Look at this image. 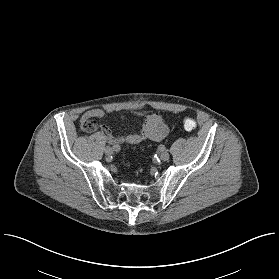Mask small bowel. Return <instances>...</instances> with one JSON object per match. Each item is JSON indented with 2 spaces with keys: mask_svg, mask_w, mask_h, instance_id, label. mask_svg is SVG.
<instances>
[{
  "mask_svg": "<svg viewBox=\"0 0 279 279\" xmlns=\"http://www.w3.org/2000/svg\"><path fill=\"white\" fill-rule=\"evenodd\" d=\"M109 110L100 108L90 109L86 111L81 117V124L89 123L92 131L96 129V125L92 122L94 118H105ZM125 119V117H122ZM102 133L108 141L114 145L121 144H138L145 140L159 141L168 134V127L165 119L161 114L153 113L145 116L141 123V128L138 133L128 135H114L110 128L106 125L100 127Z\"/></svg>",
  "mask_w": 279,
  "mask_h": 279,
  "instance_id": "obj_1",
  "label": "small bowel"
}]
</instances>
